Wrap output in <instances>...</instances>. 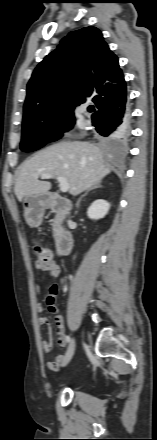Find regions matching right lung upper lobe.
<instances>
[{
    "label": "right lung upper lobe",
    "mask_w": 157,
    "mask_h": 440,
    "mask_svg": "<svg viewBox=\"0 0 157 440\" xmlns=\"http://www.w3.org/2000/svg\"><path fill=\"white\" fill-rule=\"evenodd\" d=\"M118 58L95 27L70 32L35 68L27 85L23 126L74 121L73 110L93 102L97 111L126 95Z\"/></svg>",
    "instance_id": "obj_1"
}]
</instances>
